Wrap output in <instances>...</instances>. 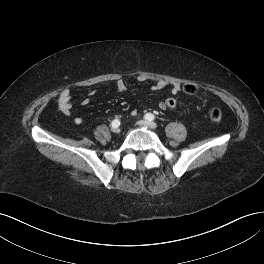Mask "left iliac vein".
<instances>
[{"mask_svg":"<svg viewBox=\"0 0 264 264\" xmlns=\"http://www.w3.org/2000/svg\"><path fill=\"white\" fill-rule=\"evenodd\" d=\"M137 124L139 126L148 127V128H151V129H155L157 127L156 123L150 122V121H147V120H140V121L137 122Z\"/></svg>","mask_w":264,"mask_h":264,"instance_id":"left-iliac-vein-1","label":"left iliac vein"}]
</instances>
